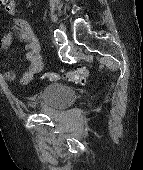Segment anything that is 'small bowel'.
I'll return each mask as SVG.
<instances>
[{
    "instance_id": "obj_1",
    "label": "small bowel",
    "mask_w": 143,
    "mask_h": 170,
    "mask_svg": "<svg viewBox=\"0 0 143 170\" xmlns=\"http://www.w3.org/2000/svg\"><path fill=\"white\" fill-rule=\"evenodd\" d=\"M0 5L3 6L6 14H15L16 3L14 0H5ZM16 38L25 43L24 51L25 57L29 61V67L22 75L20 82L28 84L43 69L41 46L29 22L22 18H15L12 30L1 38L0 51L8 49ZM1 74L7 81H14L16 78V74L12 70L1 71Z\"/></svg>"
}]
</instances>
